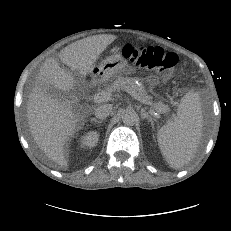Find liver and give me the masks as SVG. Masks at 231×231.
<instances>
[{
	"instance_id": "liver-1",
	"label": "liver",
	"mask_w": 231,
	"mask_h": 231,
	"mask_svg": "<svg viewBox=\"0 0 231 231\" xmlns=\"http://www.w3.org/2000/svg\"><path fill=\"white\" fill-rule=\"evenodd\" d=\"M116 39L115 35L100 34L78 40L62 49L59 59L85 78L92 73L103 51ZM51 86L65 92L75 90L77 86L73 73L62 69L55 58L45 60L38 82L29 95L28 125L34 141L46 157L67 167L65 145L84 117L70 103L51 97L47 92Z\"/></svg>"
}]
</instances>
